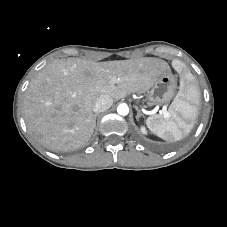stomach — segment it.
I'll use <instances>...</instances> for the list:
<instances>
[{
	"instance_id": "1",
	"label": "stomach",
	"mask_w": 227,
	"mask_h": 227,
	"mask_svg": "<svg viewBox=\"0 0 227 227\" xmlns=\"http://www.w3.org/2000/svg\"><path fill=\"white\" fill-rule=\"evenodd\" d=\"M177 80L170 71L163 73L149 91L148 100L152 105L169 103L176 94Z\"/></svg>"
}]
</instances>
